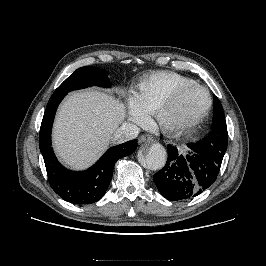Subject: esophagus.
Instances as JSON below:
<instances>
[{
  "label": "esophagus",
  "mask_w": 266,
  "mask_h": 266,
  "mask_svg": "<svg viewBox=\"0 0 266 266\" xmlns=\"http://www.w3.org/2000/svg\"><path fill=\"white\" fill-rule=\"evenodd\" d=\"M138 142L141 144V143H144V142H153V138L150 136V135H141L139 138H138Z\"/></svg>",
  "instance_id": "34e87169"
}]
</instances>
